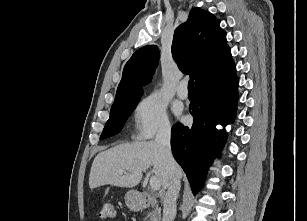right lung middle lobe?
I'll use <instances>...</instances> for the list:
<instances>
[{
	"label": "right lung middle lobe",
	"mask_w": 307,
	"mask_h": 221,
	"mask_svg": "<svg viewBox=\"0 0 307 221\" xmlns=\"http://www.w3.org/2000/svg\"><path fill=\"white\" fill-rule=\"evenodd\" d=\"M141 95L142 94H138L125 98L123 100L115 102L112 105L109 120L104 127L100 139H105L110 136H113L121 130L128 116H130V114L138 104Z\"/></svg>",
	"instance_id": "obj_1"
}]
</instances>
